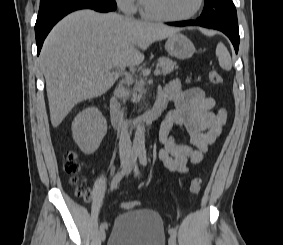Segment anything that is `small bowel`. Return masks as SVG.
<instances>
[{"label": "small bowel", "instance_id": "obj_1", "mask_svg": "<svg viewBox=\"0 0 283 245\" xmlns=\"http://www.w3.org/2000/svg\"><path fill=\"white\" fill-rule=\"evenodd\" d=\"M189 82V80H188ZM179 78L171 79L161 91L174 109L164 118L160 131L158 156L171 171L186 173L190 164L200 163L208 147L221 135L227 121V112L216 108L214 98L200 87L182 90ZM183 127L190 137V144H177L176 129Z\"/></svg>", "mask_w": 283, "mask_h": 245}]
</instances>
